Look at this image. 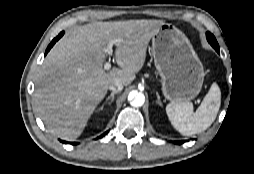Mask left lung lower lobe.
<instances>
[{"label": "left lung lower lobe", "mask_w": 254, "mask_h": 174, "mask_svg": "<svg viewBox=\"0 0 254 174\" xmlns=\"http://www.w3.org/2000/svg\"><path fill=\"white\" fill-rule=\"evenodd\" d=\"M215 50L219 53V49L216 48ZM183 142H185V141H178V142H175V143L180 145V144H182Z\"/></svg>", "instance_id": "left-lung-lower-lobe-1"}]
</instances>
